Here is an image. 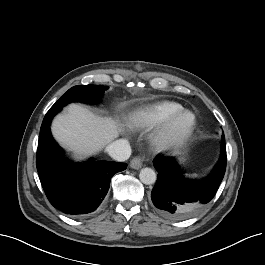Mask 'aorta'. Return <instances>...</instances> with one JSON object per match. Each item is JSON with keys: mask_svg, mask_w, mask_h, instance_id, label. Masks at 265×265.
Instances as JSON below:
<instances>
[{"mask_svg": "<svg viewBox=\"0 0 265 265\" xmlns=\"http://www.w3.org/2000/svg\"><path fill=\"white\" fill-rule=\"evenodd\" d=\"M139 178L143 184L151 185L156 182L157 176L153 169L146 167L141 169Z\"/></svg>", "mask_w": 265, "mask_h": 265, "instance_id": "aorta-1", "label": "aorta"}]
</instances>
